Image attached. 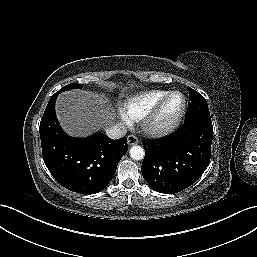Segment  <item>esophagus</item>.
Segmentation results:
<instances>
[{"label":"esophagus","mask_w":257,"mask_h":257,"mask_svg":"<svg viewBox=\"0 0 257 257\" xmlns=\"http://www.w3.org/2000/svg\"><path fill=\"white\" fill-rule=\"evenodd\" d=\"M138 143V138L135 135H129L127 137V144L129 146L136 145Z\"/></svg>","instance_id":"obj_1"}]
</instances>
